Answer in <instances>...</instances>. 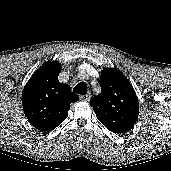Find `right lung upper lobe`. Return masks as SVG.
I'll return each mask as SVG.
<instances>
[{"label": "right lung upper lobe", "instance_id": "cb5924a9", "mask_svg": "<svg viewBox=\"0 0 171 171\" xmlns=\"http://www.w3.org/2000/svg\"><path fill=\"white\" fill-rule=\"evenodd\" d=\"M60 71L58 62L45 63L23 89L24 113L40 131L49 132L59 126L67 118L70 104L78 101L70 86L59 82Z\"/></svg>", "mask_w": 171, "mask_h": 171}]
</instances>
